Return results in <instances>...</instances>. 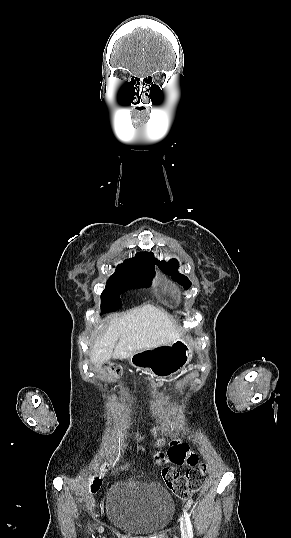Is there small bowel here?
<instances>
[{
  "label": "small bowel",
  "instance_id": "obj_1",
  "mask_svg": "<svg viewBox=\"0 0 291 538\" xmlns=\"http://www.w3.org/2000/svg\"><path fill=\"white\" fill-rule=\"evenodd\" d=\"M186 370H189V367H186ZM190 370H194V367H190ZM157 387H158L157 384H153L151 388L149 389V392L154 393V394L157 393L158 392Z\"/></svg>",
  "mask_w": 291,
  "mask_h": 538
}]
</instances>
